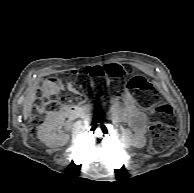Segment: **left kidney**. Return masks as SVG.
<instances>
[{"label":"left kidney","instance_id":"left-kidney-1","mask_svg":"<svg viewBox=\"0 0 194 193\" xmlns=\"http://www.w3.org/2000/svg\"><path fill=\"white\" fill-rule=\"evenodd\" d=\"M145 144H146V139L143 138V139H141V140L139 141L138 146H139V147H144Z\"/></svg>","mask_w":194,"mask_h":193}]
</instances>
